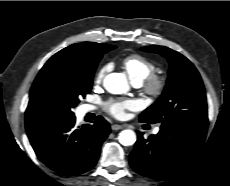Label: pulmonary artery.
I'll return each mask as SVG.
<instances>
[{"instance_id":"1","label":"pulmonary artery","mask_w":230,"mask_h":186,"mask_svg":"<svg viewBox=\"0 0 230 186\" xmlns=\"http://www.w3.org/2000/svg\"><path fill=\"white\" fill-rule=\"evenodd\" d=\"M133 84H134L135 87H138V86L140 85V83H133ZM93 109H94V107H93V106H90V105H88V106L85 107V110H86V111H91V110H93ZM159 131H160V129L157 127V128H155V129L153 130V133H154V134H157Z\"/></svg>"}]
</instances>
